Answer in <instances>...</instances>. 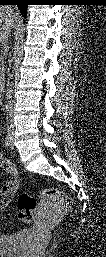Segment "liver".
<instances>
[{"instance_id":"1","label":"liver","mask_w":106,"mask_h":257,"mask_svg":"<svg viewBox=\"0 0 106 257\" xmlns=\"http://www.w3.org/2000/svg\"><path fill=\"white\" fill-rule=\"evenodd\" d=\"M18 14H14V9L9 6L0 7V35L1 39H5L10 33L13 24L14 17Z\"/></svg>"}]
</instances>
